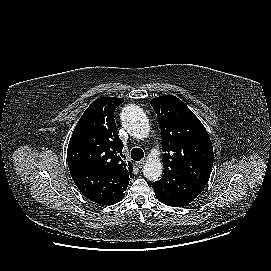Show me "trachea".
Returning a JSON list of instances; mask_svg holds the SVG:
<instances>
[{"instance_id": "1", "label": "trachea", "mask_w": 271, "mask_h": 271, "mask_svg": "<svg viewBox=\"0 0 271 271\" xmlns=\"http://www.w3.org/2000/svg\"><path fill=\"white\" fill-rule=\"evenodd\" d=\"M144 157V152L140 148H133L131 151V158L135 161H140Z\"/></svg>"}]
</instances>
